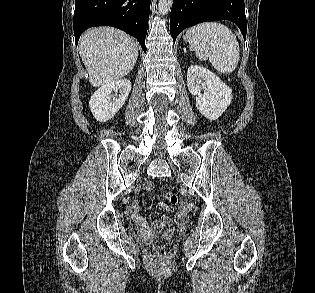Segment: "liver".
Returning a JSON list of instances; mask_svg holds the SVG:
<instances>
[{"mask_svg": "<svg viewBox=\"0 0 315 293\" xmlns=\"http://www.w3.org/2000/svg\"><path fill=\"white\" fill-rule=\"evenodd\" d=\"M78 49L93 87L126 76L138 57L136 41L125 32L112 27L87 30L80 38Z\"/></svg>", "mask_w": 315, "mask_h": 293, "instance_id": "liver-1", "label": "liver"}]
</instances>
